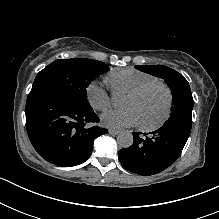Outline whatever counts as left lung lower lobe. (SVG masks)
I'll use <instances>...</instances> for the list:
<instances>
[{
	"label": "left lung lower lobe",
	"mask_w": 219,
	"mask_h": 219,
	"mask_svg": "<svg viewBox=\"0 0 219 219\" xmlns=\"http://www.w3.org/2000/svg\"><path fill=\"white\" fill-rule=\"evenodd\" d=\"M192 123L168 121L149 136L133 132V144L119 151L122 166L139 175L157 174L180 156L190 135Z\"/></svg>",
	"instance_id": "left-lung-lower-lobe-1"
}]
</instances>
